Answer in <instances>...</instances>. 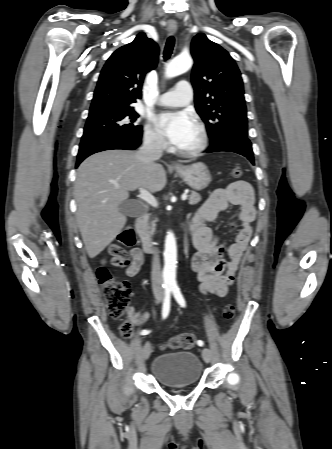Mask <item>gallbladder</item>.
<instances>
[{
  "label": "gallbladder",
  "mask_w": 332,
  "mask_h": 449,
  "mask_svg": "<svg viewBox=\"0 0 332 449\" xmlns=\"http://www.w3.org/2000/svg\"><path fill=\"white\" fill-rule=\"evenodd\" d=\"M119 210L129 217H138L143 213L142 208L133 200L124 201L119 207Z\"/></svg>",
  "instance_id": "gallbladder-1"
}]
</instances>
